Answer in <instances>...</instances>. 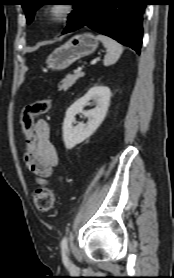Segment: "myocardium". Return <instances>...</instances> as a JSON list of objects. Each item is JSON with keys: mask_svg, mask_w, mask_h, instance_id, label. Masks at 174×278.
<instances>
[{"mask_svg": "<svg viewBox=\"0 0 174 278\" xmlns=\"http://www.w3.org/2000/svg\"><path fill=\"white\" fill-rule=\"evenodd\" d=\"M76 7L73 4H48L42 9L43 16L51 23L65 22L74 13Z\"/></svg>", "mask_w": 174, "mask_h": 278, "instance_id": "myocardium-1", "label": "myocardium"}]
</instances>
